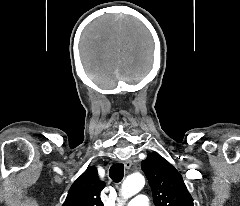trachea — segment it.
Wrapping results in <instances>:
<instances>
[{
    "mask_svg": "<svg viewBox=\"0 0 240 206\" xmlns=\"http://www.w3.org/2000/svg\"><path fill=\"white\" fill-rule=\"evenodd\" d=\"M109 176L114 182H120L124 176V165L122 163L112 165L109 170Z\"/></svg>",
    "mask_w": 240,
    "mask_h": 206,
    "instance_id": "trachea-1",
    "label": "trachea"
}]
</instances>
